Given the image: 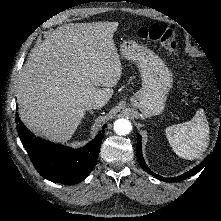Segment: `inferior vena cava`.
Here are the masks:
<instances>
[{"instance_id": "inferior-vena-cava-1", "label": "inferior vena cava", "mask_w": 221, "mask_h": 221, "mask_svg": "<svg viewBox=\"0 0 221 221\" xmlns=\"http://www.w3.org/2000/svg\"><path fill=\"white\" fill-rule=\"evenodd\" d=\"M104 104L100 101V100H89L86 104H85V109L86 110H91V109H100L101 107H103Z\"/></svg>"}]
</instances>
